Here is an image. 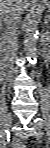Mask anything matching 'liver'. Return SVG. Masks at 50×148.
Instances as JSON below:
<instances>
[{
    "label": "liver",
    "instance_id": "6515ba94",
    "mask_svg": "<svg viewBox=\"0 0 50 148\" xmlns=\"http://www.w3.org/2000/svg\"><path fill=\"white\" fill-rule=\"evenodd\" d=\"M13 2L14 5H17L21 10L26 9L29 0H1L0 1V12L2 13V10L8 6L10 2Z\"/></svg>",
    "mask_w": 50,
    "mask_h": 148
}]
</instances>
